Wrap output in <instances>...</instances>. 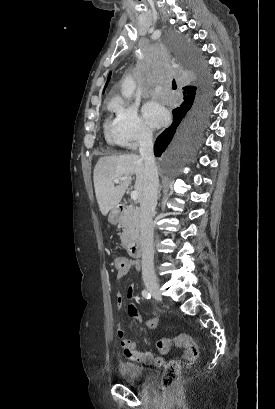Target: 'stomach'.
I'll use <instances>...</instances> for the list:
<instances>
[{
	"instance_id": "1",
	"label": "stomach",
	"mask_w": 275,
	"mask_h": 409,
	"mask_svg": "<svg viewBox=\"0 0 275 409\" xmlns=\"http://www.w3.org/2000/svg\"><path fill=\"white\" fill-rule=\"evenodd\" d=\"M108 221L109 223H111V225H117V223H119L120 217H119V211L117 207H114L111 213H109Z\"/></svg>"
}]
</instances>
